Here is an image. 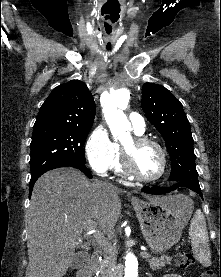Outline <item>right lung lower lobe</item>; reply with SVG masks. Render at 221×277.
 <instances>
[{
  "instance_id": "obj_1",
  "label": "right lung lower lobe",
  "mask_w": 221,
  "mask_h": 277,
  "mask_svg": "<svg viewBox=\"0 0 221 277\" xmlns=\"http://www.w3.org/2000/svg\"><path fill=\"white\" fill-rule=\"evenodd\" d=\"M66 166L77 168V169L81 170L88 178H92L91 173H90L89 170L85 167V165L78 164V163H68V164L62 165V166H60V167H66ZM40 176H41V175H40ZM40 176L35 177V178H31L30 184H29V194H30V196H31V192H32L33 186H34L36 180H37Z\"/></svg>"
}]
</instances>
